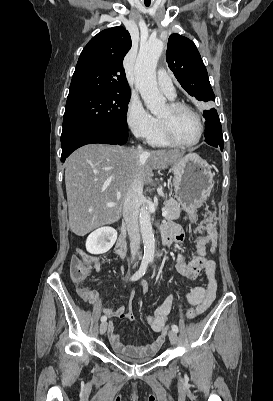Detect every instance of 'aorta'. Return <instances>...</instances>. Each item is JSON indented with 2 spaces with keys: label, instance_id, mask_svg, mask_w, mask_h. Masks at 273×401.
<instances>
[{
  "label": "aorta",
  "instance_id": "762f6f07",
  "mask_svg": "<svg viewBox=\"0 0 273 401\" xmlns=\"http://www.w3.org/2000/svg\"><path fill=\"white\" fill-rule=\"evenodd\" d=\"M163 50L161 40H151L141 46L135 63L136 88L139 90L146 107L154 115L165 106V98L159 91L156 81V66ZM140 230L144 245V257L152 260L155 255V239L151 216L144 205L139 213Z\"/></svg>",
  "mask_w": 273,
  "mask_h": 401
}]
</instances>
